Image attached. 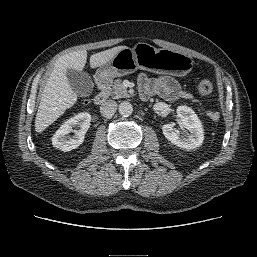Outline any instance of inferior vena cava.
<instances>
[{
  "label": "inferior vena cava",
  "mask_w": 257,
  "mask_h": 257,
  "mask_svg": "<svg viewBox=\"0 0 257 257\" xmlns=\"http://www.w3.org/2000/svg\"><path fill=\"white\" fill-rule=\"evenodd\" d=\"M117 109V103L113 100L104 102L100 107V112L104 117H111Z\"/></svg>",
  "instance_id": "602c4592"
}]
</instances>
